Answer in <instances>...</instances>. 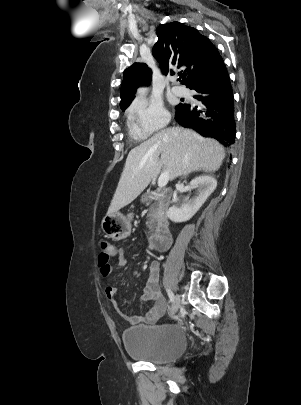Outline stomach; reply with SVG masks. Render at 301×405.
<instances>
[{
	"mask_svg": "<svg viewBox=\"0 0 301 405\" xmlns=\"http://www.w3.org/2000/svg\"><path fill=\"white\" fill-rule=\"evenodd\" d=\"M101 229L113 240L125 239L131 233V216H124L119 212L107 214L101 222Z\"/></svg>",
	"mask_w": 301,
	"mask_h": 405,
	"instance_id": "obj_1",
	"label": "stomach"
}]
</instances>
